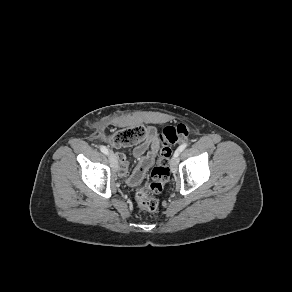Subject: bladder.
<instances>
[{
  "label": "bladder",
  "mask_w": 292,
  "mask_h": 292,
  "mask_svg": "<svg viewBox=\"0 0 292 292\" xmlns=\"http://www.w3.org/2000/svg\"><path fill=\"white\" fill-rule=\"evenodd\" d=\"M129 184H130L131 186H136V185H137L136 183H134V182H132V181H129Z\"/></svg>",
  "instance_id": "31cf9c89"
}]
</instances>
